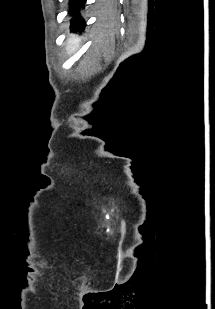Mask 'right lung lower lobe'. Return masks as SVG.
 Returning a JSON list of instances; mask_svg holds the SVG:
<instances>
[{
	"instance_id": "98d812e1",
	"label": "right lung lower lobe",
	"mask_w": 215,
	"mask_h": 309,
	"mask_svg": "<svg viewBox=\"0 0 215 309\" xmlns=\"http://www.w3.org/2000/svg\"><path fill=\"white\" fill-rule=\"evenodd\" d=\"M86 1V0H84ZM83 0H70L69 3V14L73 16L71 20L70 28L73 31L84 30L86 24L84 19L81 18V10L84 9Z\"/></svg>"
}]
</instances>
